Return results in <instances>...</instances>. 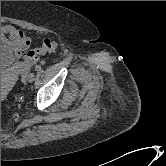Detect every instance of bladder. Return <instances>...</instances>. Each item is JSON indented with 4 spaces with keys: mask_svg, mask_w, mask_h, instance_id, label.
<instances>
[{
    "mask_svg": "<svg viewBox=\"0 0 166 166\" xmlns=\"http://www.w3.org/2000/svg\"><path fill=\"white\" fill-rule=\"evenodd\" d=\"M14 64L15 54L12 48L1 43V72L10 69Z\"/></svg>",
    "mask_w": 166,
    "mask_h": 166,
    "instance_id": "1",
    "label": "bladder"
}]
</instances>
